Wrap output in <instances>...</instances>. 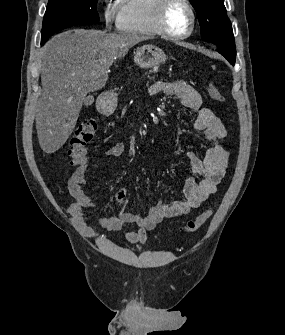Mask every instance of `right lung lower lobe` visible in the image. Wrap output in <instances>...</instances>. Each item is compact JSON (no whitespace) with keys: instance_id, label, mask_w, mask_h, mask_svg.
<instances>
[{"instance_id":"98d812e1","label":"right lung lower lobe","mask_w":285,"mask_h":335,"mask_svg":"<svg viewBox=\"0 0 285 335\" xmlns=\"http://www.w3.org/2000/svg\"><path fill=\"white\" fill-rule=\"evenodd\" d=\"M45 42L41 41V45H43Z\"/></svg>"}]
</instances>
